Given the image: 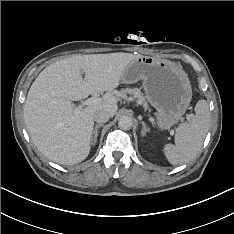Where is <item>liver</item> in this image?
<instances>
[{"instance_id": "liver-1", "label": "liver", "mask_w": 234, "mask_h": 234, "mask_svg": "<svg viewBox=\"0 0 234 234\" xmlns=\"http://www.w3.org/2000/svg\"><path fill=\"white\" fill-rule=\"evenodd\" d=\"M141 55L109 53L77 55L47 66L31 85L24 121L31 140L49 160L73 165L90 153L94 113L118 110L112 91L124 68ZM82 71L85 78L82 77ZM107 92L101 102L77 111L71 101Z\"/></svg>"}]
</instances>
